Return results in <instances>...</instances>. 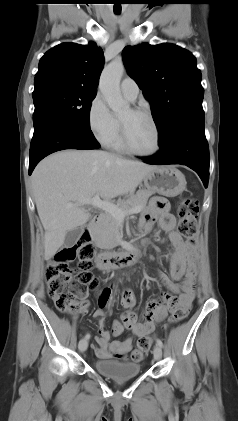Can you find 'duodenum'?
<instances>
[{
  "mask_svg": "<svg viewBox=\"0 0 238 421\" xmlns=\"http://www.w3.org/2000/svg\"><path fill=\"white\" fill-rule=\"evenodd\" d=\"M99 222V217H93L88 229L93 230ZM140 257L138 248L128 249L122 252H105L98 255L96 266L100 270L114 269L134 264Z\"/></svg>",
  "mask_w": 238,
  "mask_h": 421,
  "instance_id": "duodenum-1",
  "label": "duodenum"
}]
</instances>
